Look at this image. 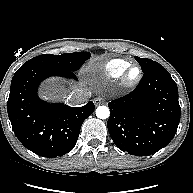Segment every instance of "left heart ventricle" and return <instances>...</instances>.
<instances>
[{"instance_id": "1", "label": "left heart ventricle", "mask_w": 193, "mask_h": 193, "mask_svg": "<svg viewBox=\"0 0 193 193\" xmlns=\"http://www.w3.org/2000/svg\"><path fill=\"white\" fill-rule=\"evenodd\" d=\"M137 74H138V70H137V69H133V70L131 71V73H130V77H131V78H134V77L137 76Z\"/></svg>"}]
</instances>
